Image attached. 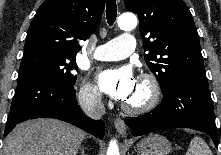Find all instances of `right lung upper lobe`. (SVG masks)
<instances>
[{
  "label": "right lung upper lobe",
  "mask_w": 221,
  "mask_h": 155,
  "mask_svg": "<svg viewBox=\"0 0 221 155\" xmlns=\"http://www.w3.org/2000/svg\"><path fill=\"white\" fill-rule=\"evenodd\" d=\"M105 0H45L28 29L24 56L50 53L75 58L78 40L98 28Z\"/></svg>",
  "instance_id": "1"
}]
</instances>
